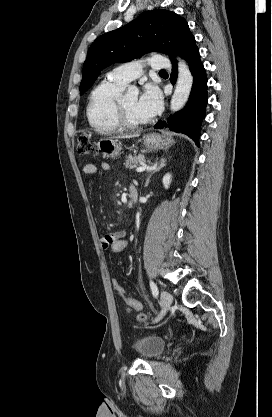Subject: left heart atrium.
Segmentation results:
<instances>
[{
  "label": "left heart atrium",
  "mask_w": 272,
  "mask_h": 417,
  "mask_svg": "<svg viewBox=\"0 0 272 417\" xmlns=\"http://www.w3.org/2000/svg\"><path fill=\"white\" fill-rule=\"evenodd\" d=\"M162 103L159 88L153 84H147L137 101V110L146 120H149L161 110Z\"/></svg>",
  "instance_id": "1"
}]
</instances>
